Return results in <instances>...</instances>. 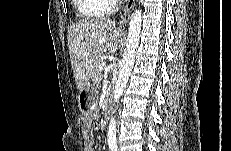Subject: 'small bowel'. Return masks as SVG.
<instances>
[{
    "label": "small bowel",
    "mask_w": 231,
    "mask_h": 151,
    "mask_svg": "<svg viewBox=\"0 0 231 151\" xmlns=\"http://www.w3.org/2000/svg\"><path fill=\"white\" fill-rule=\"evenodd\" d=\"M92 129V120L86 119L83 123L85 151H94V144L90 132Z\"/></svg>",
    "instance_id": "1"
}]
</instances>
